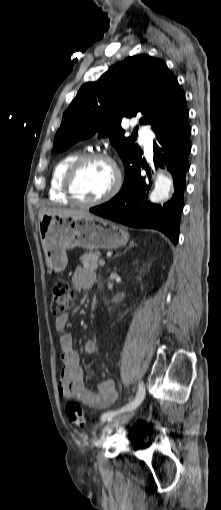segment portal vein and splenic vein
I'll use <instances>...</instances> for the list:
<instances>
[{"instance_id":"portal-vein-and-splenic-vein-1","label":"portal vein and splenic vein","mask_w":221,"mask_h":510,"mask_svg":"<svg viewBox=\"0 0 221 510\" xmlns=\"http://www.w3.org/2000/svg\"><path fill=\"white\" fill-rule=\"evenodd\" d=\"M99 264H100L101 266H104V265H105V260L100 259V260H99Z\"/></svg>"}]
</instances>
